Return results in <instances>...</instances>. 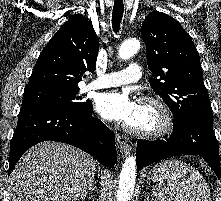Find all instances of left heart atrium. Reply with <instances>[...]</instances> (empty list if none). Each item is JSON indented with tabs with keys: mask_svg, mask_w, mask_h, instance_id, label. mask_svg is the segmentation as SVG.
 <instances>
[{
	"mask_svg": "<svg viewBox=\"0 0 221 201\" xmlns=\"http://www.w3.org/2000/svg\"><path fill=\"white\" fill-rule=\"evenodd\" d=\"M96 109L107 120L129 124L137 114L138 105L125 91L113 90L99 95Z\"/></svg>",
	"mask_w": 221,
	"mask_h": 201,
	"instance_id": "39dd6f15",
	"label": "left heart atrium"
}]
</instances>
